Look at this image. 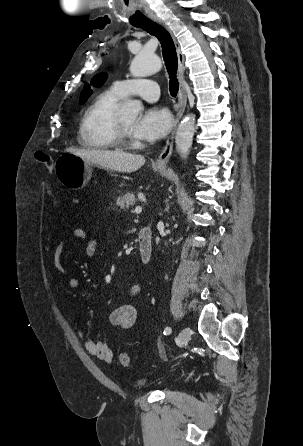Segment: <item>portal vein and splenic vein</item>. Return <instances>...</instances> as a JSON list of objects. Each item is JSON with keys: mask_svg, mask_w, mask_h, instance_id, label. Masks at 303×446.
<instances>
[{"mask_svg": "<svg viewBox=\"0 0 303 446\" xmlns=\"http://www.w3.org/2000/svg\"><path fill=\"white\" fill-rule=\"evenodd\" d=\"M142 212V207L141 206H137L136 208H135V213L136 214H140Z\"/></svg>", "mask_w": 303, "mask_h": 446, "instance_id": "portal-vein-and-splenic-vein-1", "label": "portal vein and splenic vein"}]
</instances>
